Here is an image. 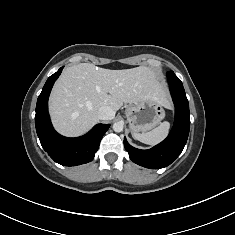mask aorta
Masks as SVG:
<instances>
[{
  "instance_id": "obj_1",
  "label": "aorta",
  "mask_w": 235,
  "mask_h": 235,
  "mask_svg": "<svg viewBox=\"0 0 235 235\" xmlns=\"http://www.w3.org/2000/svg\"><path fill=\"white\" fill-rule=\"evenodd\" d=\"M123 128H124V125H123L122 122H116V123L113 124V130L115 132H122Z\"/></svg>"
}]
</instances>
